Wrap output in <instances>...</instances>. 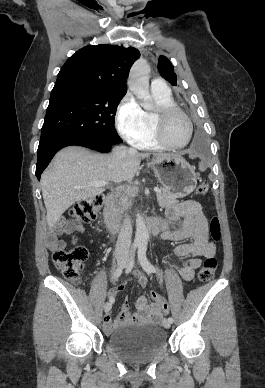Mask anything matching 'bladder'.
<instances>
[{"label": "bladder", "instance_id": "31cf9c89", "mask_svg": "<svg viewBox=\"0 0 265 388\" xmlns=\"http://www.w3.org/2000/svg\"><path fill=\"white\" fill-rule=\"evenodd\" d=\"M167 333L157 324L133 325L109 335L108 347L130 361H144L165 346Z\"/></svg>", "mask_w": 265, "mask_h": 388}]
</instances>
